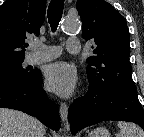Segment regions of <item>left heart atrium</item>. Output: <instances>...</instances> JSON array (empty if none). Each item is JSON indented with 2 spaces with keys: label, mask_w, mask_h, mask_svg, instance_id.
Listing matches in <instances>:
<instances>
[{
  "label": "left heart atrium",
  "mask_w": 144,
  "mask_h": 137,
  "mask_svg": "<svg viewBox=\"0 0 144 137\" xmlns=\"http://www.w3.org/2000/svg\"><path fill=\"white\" fill-rule=\"evenodd\" d=\"M47 88L62 97H69L77 83V72L65 62L50 65L45 74Z\"/></svg>",
  "instance_id": "left-heart-atrium-1"
}]
</instances>
